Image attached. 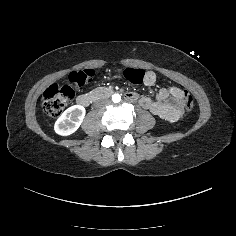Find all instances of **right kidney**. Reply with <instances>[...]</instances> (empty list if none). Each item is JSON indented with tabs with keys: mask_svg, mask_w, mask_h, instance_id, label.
Segmentation results:
<instances>
[{
	"mask_svg": "<svg viewBox=\"0 0 236 236\" xmlns=\"http://www.w3.org/2000/svg\"><path fill=\"white\" fill-rule=\"evenodd\" d=\"M86 109L81 105H74L66 109L56 120L54 131L60 136H69L81 126Z\"/></svg>",
	"mask_w": 236,
	"mask_h": 236,
	"instance_id": "right-kidney-1",
	"label": "right kidney"
}]
</instances>
